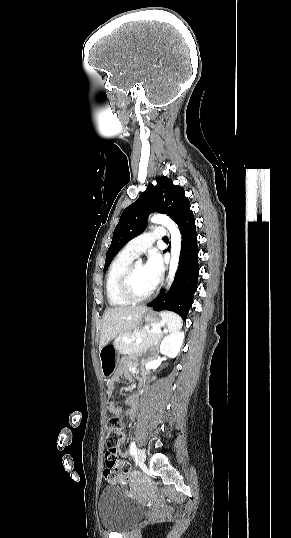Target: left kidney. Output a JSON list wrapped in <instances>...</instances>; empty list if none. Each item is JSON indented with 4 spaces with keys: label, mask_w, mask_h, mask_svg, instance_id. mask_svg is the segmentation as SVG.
<instances>
[{
    "label": "left kidney",
    "mask_w": 291,
    "mask_h": 538,
    "mask_svg": "<svg viewBox=\"0 0 291 538\" xmlns=\"http://www.w3.org/2000/svg\"><path fill=\"white\" fill-rule=\"evenodd\" d=\"M184 340V333L183 332H174L166 336L160 345V352L169 357V358H175L182 347Z\"/></svg>",
    "instance_id": "1"
}]
</instances>
